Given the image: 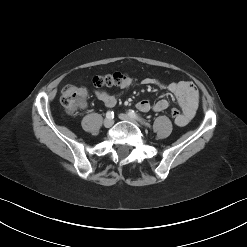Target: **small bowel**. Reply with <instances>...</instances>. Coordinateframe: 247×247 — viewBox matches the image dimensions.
I'll list each match as a JSON object with an SVG mask.
<instances>
[{
    "label": "small bowel",
    "instance_id": "small-bowel-1",
    "mask_svg": "<svg viewBox=\"0 0 247 247\" xmlns=\"http://www.w3.org/2000/svg\"><path fill=\"white\" fill-rule=\"evenodd\" d=\"M133 84L130 78H127L121 85L123 88H128ZM144 85H154L161 89H164L173 94L181 108V115L175 121L180 127L186 126L194 117L198 103L199 92L197 87L189 81H175L171 83H163L155 78H144L142 80ZM96 97L104 103L107 107H114L117 102L115 95L103 90L95 91ZM169 107V102L166 99H159L155 103L143 99L137 103V108L142 112H148L150 110L161 112Z\"/></svg>",
    "mask_w": 247,
    "mask_h": 247
}]
</instances>
